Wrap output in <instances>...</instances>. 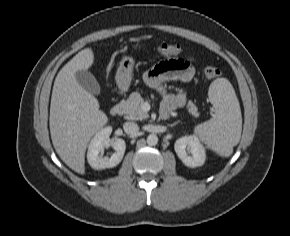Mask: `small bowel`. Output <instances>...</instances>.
<instances>
[{"mask_svg":"<svg viewBox=\"0 0 290 236\" xmlns=\"http://www.w3.org/2000/svg\"><path fill=\"white\" fill-rule=\"evenodd\" d=\"M194 75V67L185 59L161 61L144 74V83L162 95L161 115L163 118H167L172 110L184 107L187 102L183 89L172 92L167 88L166 83L172 80L189 82Z\"/></svg>","mask_w":290,"mask_h":236,"instance_id":"c3829d8e","label":"small bowel"}]
</instances>
